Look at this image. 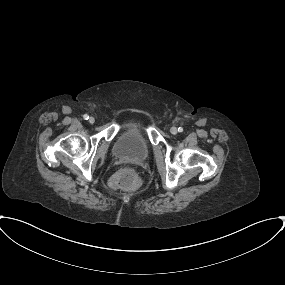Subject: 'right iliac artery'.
<instances>
[{
	"label": "right iliac artery",
	"mask_w": 285,
	"mask_h": 285,
	"mask_svg": "<svg viewBox=\"0 0 285 285\" xmlns=\"http://www.w3.org/2000/svg\"><path fill=\"white\" fill-rule=\"evenodd\" d=\"M83 118H84L85 120H88V119H89V115L84 114V115H83Z\"/></svg>",
	"instance_id": "82829eb1"
}]
</instances>
